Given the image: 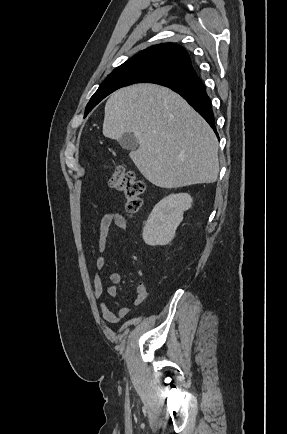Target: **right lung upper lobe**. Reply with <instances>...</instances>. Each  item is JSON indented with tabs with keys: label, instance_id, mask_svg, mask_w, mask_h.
<instances>
[{
	"label": "right lung upper lobe",
	"instance_id": "1",
	"mask_svg": "<svg viewBox=\"0 0 287 434\" xmlns=\"http://www.w3.org/2000/svg\"><path fill=\"white\" fill-rule=\"evenodd\" d=\"M143 68L165 70L180 76L179 80L187 73L194 70L190 57L182 46L175 43H164L154 45L139 52L134 57L115 68L111 74ZM177 81H163L159 84L167 86Z\"/></svg>",
	"mask_w": 287,
	"mask_h": 434
}]
</instances>
